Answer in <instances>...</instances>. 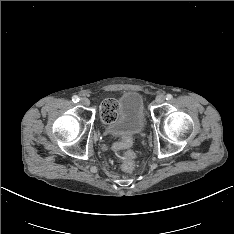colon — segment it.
<instances>
[{
	"label": "colon",
	"instance_id": "5ec220e1",
	"mask_svg": "<svg viewBox=\"0 0 234 234\" xmlns=\"http://www.w3.org/2000/svg\"><path fill=\"white\" fill-rule=\"evenodd\" d=\"M117 112V102L113 99H107L103 102L101 106V120L103 123L108 124L112 122L115 119ZM115 133H119V135L124 136V138H121L119 141H117L113 149L116 152L125 151L126 158L122 163V169L126 172H131L134 169V163L131 159L134 157V152L131 150H128V148L131 145L130 137H128L127 134H124L123 132H119V130H115Z\"/></svg>",
	"mask_w": 234,
	"mask_h": 234
}]
</instances>
